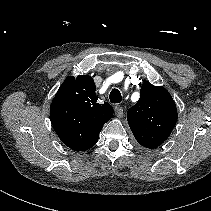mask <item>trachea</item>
I'll use <instances>...</instances> for the list:
<instances>
[{"mask_svg": "<svg viewBox=\"0 0 211 211\" xmlns=\"http://www.w3.org/2000/svg\"><path fill=\"white\" fill-rule=\"evenodd\" d=\"M110 101H111V103H120L122 101V96L118 89L111 90Z\"/></svg>", "mask_w": 211, "mask_h": 211, "instance_id": "1", "label": "trachea"}]
</instances>
